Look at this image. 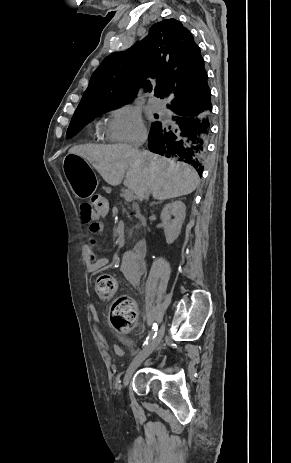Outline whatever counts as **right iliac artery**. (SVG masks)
Instances as JSON below:
<instances>
[{
  "instance_id": "right-iliac-artery-1",
  "label": "right iliac artery",
  "mask_w": 291,
  "mask_h": 463,
  "mask_svg": "<svg viewBox=\"0 0 291 463\" xmlns=\"http://www.w3.org/2000/svg\"><path fill=\"white\" fill-rule=\"evenodd\" d=\"M157 330H158V325H157V323H154L153 326H152V330L150 332V335L147 337L144 344L147 345L149 342H151V340L157 335Z\"/></svg>"
}]
</instances>
